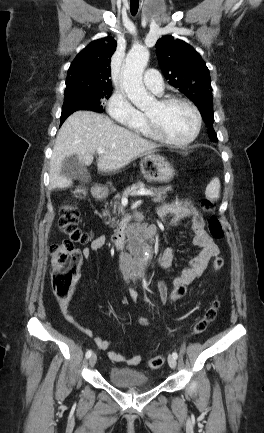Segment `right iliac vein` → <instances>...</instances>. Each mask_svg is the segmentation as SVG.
Here are the masks:
<instances>
[{
  "label": "right iliac vein",
  "mask_w": 264,
  "mask_h": 433,
  "mask_svg": "<svg viewBox=\"0 0 264 433\" xmlns=\"http://www.w3.org/2000/svg\"><path fill=\"white\" fill-rule=\"evenodd\" d=\"M96 362H97V355L95 353H93L89 359V366L94 367Z\"/></svg>",
  "instance_id": "obj_1"
}]
</instances>
